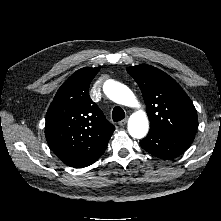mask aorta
Listing matches in <instances>:
<instances>
[{"mask_svg": "<svg viewBox=\"0 0 221 221\" xmlns=\"http://www.w3.org/2000/svg\"><path fill=\"white\" fill-rule=\"evenodd\" d=\"M107 97L115 103L128 107L138 106L133 92L124 84L115 81H108L104 86ZM149 130V121L146 113L139 110L133 113L128 121V132L133 138L141 139L146 136Z\"/></svg>", "mask_w": 221, "mask_h": 221, "instance_id": "1", "label": "aorta"}]
</instances>
